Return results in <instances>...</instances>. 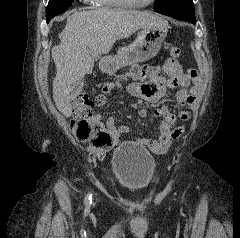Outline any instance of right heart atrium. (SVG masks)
<instances>
[{
  "instance_id": "1",
  "label": "right heart atrium",
  "mask_w": 240,
  "mask_h": 238,
  "mask_svg": "<svg viewBox=\"0 0 240 238\" xmlns=\"http://www.w3.org/2000/svg\"><path fill=\"white\" fill-rule=\"evenodd\" d=\"M83 1L84 3H87V4H94L97 2V0H81Z\"/></svg>"
}]
</instances>
